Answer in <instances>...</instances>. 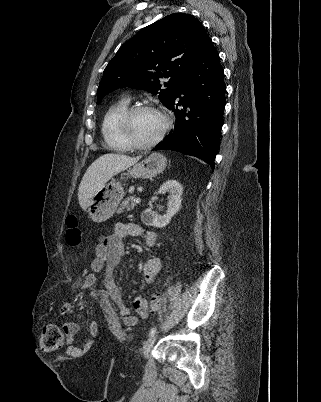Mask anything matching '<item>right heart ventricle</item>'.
Returning a JSON list of instances; mask_svg holds the SVG:
<instances>
[{
	"label": "right heart ventricle",
	"instance_id": "e07e8e85",
	"mask_svg": "<svg viewBox=\"0 0 321 402\" xmlns=\"http://www.w3.org/2000/svg\"><path fill=\"white\" fill-rule=\"evenodd\" d=\"M128 107V100H119L112 104L103 116L101 123L103 140L105 146L112 151L126 152L131 149L123 140L118 127L119 119Z\"/></svg>",
	"mask_w": 321,
	"mask_h": 402
}]
</instances>
